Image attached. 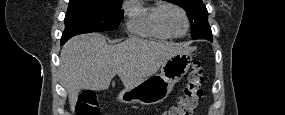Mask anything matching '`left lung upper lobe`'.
Listing matches in <instances>:
<instances>
[{"label": "left lung upper lobe", "instance_id": "left-lung-upper-lobe-1", "mask_svg": "<svg viewBox=\"0 0 285 115\" xmlns=\"http://www.w3.org/2000/svg\"><path fill=\"white\" fill-rule=\"evenodd\" d=\"M182 7L189 16L191 37L212 41V32L208 24V11L202 0H167Z\"/></svg>", "mask_w": 285, "mask_h": 115}]
</instances>
